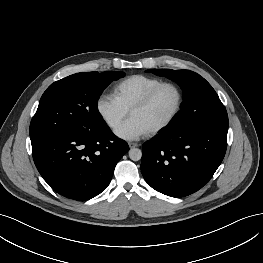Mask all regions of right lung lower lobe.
I'll return each instance as SVG.
<instances>
[{"instance_id":"98d812e1","label":"right lung lower lobe","mask_w":263,"mask_h":263,"mask_svg":"<svg viewBox=\"0 0 263 263\" xmlns=\"http://www.w3.org/2000/svg\"><path fill=\"white\" fill-rule=\"evenodd\" d=\"M129 150L106 123L70 131L32 146L34 163L49 186L79 201L91 199L110 184L117 162Z\"/></svg>"}]
</instances>
